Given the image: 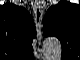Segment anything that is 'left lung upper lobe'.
<instances>
[{
    "mask_svg": "<svg viewBox=\"0 0 80 60\" xmlns=\"http://www.w3.org/2000/svg\"><path fill=\"white\" fill-rule=\"evenodd\" d=\"M75 17L76 7L65 0L48 9L44 17V36L57 37L61 41L63 54L75 50L80 42L78 32L75 31L73 26Z\"/></svg>",
    "mask_w": 80,
    "mask_h": 60,
    "instance_id": "left-lung-upper-lobe-1",
    "label": "left lung upper lobe"
}]
</instances>
